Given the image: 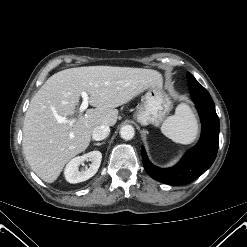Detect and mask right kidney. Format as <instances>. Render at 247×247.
Segmentation results:
<instances>
[{"label": "right kidney", "instance_id": "1", "mask_svg": "<svg viewBox=\"0 0 247 247\" xmlns=\"http://www.w3.org/2000/svg\"><path fill=\"white\" fill-rule=\"evenodd\" d=\"M100 151H91L83 156L73 158L65 167L64 175L69 183H79L88 180L96 174L101 164ZM91 161L90 167L79 171V166L84 161Z\"/></svg>", "mask_w": 247, "mask_h": 247}]
</instances>
